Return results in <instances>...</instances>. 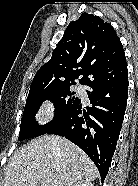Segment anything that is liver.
Masks as SVG:
<instances>
[{"mask_svg": "<svg viewBox=\"0 0 138 186\" xmlns=\"http://www.w3.org/2000/svg\"><path fill=\"white\" fill-rule=\"evenodd\" d=\"M97 167L66 138L44 135L20 148L5 170L6 186H73L94 181Z\"/></svg>", "mask_w": 138, "mask_h": 186, "instance_id": "liver-1", "label": "liver"}]
</instances>
